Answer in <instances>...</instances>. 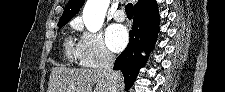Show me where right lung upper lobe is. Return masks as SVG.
I'll return each mask as SVG.
<instances>
[{
	"mask_svg": "<svg viewBox=\"0 0 225 92\" xmlns=\"http://www.w3.org/2000/svg\"><path fill=\"white\" fill-rule=\"evenodd\" d=\"M84 2L85 0H69L59 22H69L77 14ZM156 11H158V7L155 0H138L137 4H135V14L149 15Z\"/></svg>",
	"mask_w": 225,
	"mask_h": 92,
	"instance_id": "right-lung-upper-lobe-1",
	"label": "right lung upper lobe"
}]
</instances>
